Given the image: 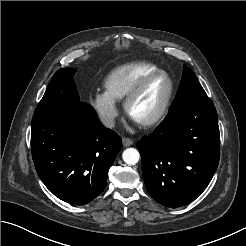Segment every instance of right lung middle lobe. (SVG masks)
Masks as SVG:
<instances>
[{
	"label": "right lung middle lobe",
	"instance_id": "1",
	"mask_svg": "<svg viewBox=\"0 0 246 246\" xmlns=\"http://www.w3.org/2000/svg\"><path fill=\"white\" fill-rule=\"evenodd\" d=\"M74 73L75 69L63 68L53 75L33 117L59 115L79 102Z\"/></svg>",
	"mask_w": 246,
	"mask_h": 246
}]
</instances>
